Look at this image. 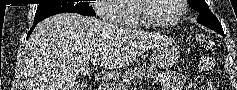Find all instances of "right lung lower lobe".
Masks as SVG:
<instances>
[{
	"mask_svg": "<svg viewBox=\"0 0 237 90\" xmlns=\"http://www.w3.org/2000/svg\"><path fill=\"white\" fill-rule=\"evenodd\" d=\"M38 22H40V21H38ZM38 22H37V21L34 22V25H33L32 28L30 29V31L28 32V36L32 33L33 29L35 28V26L37 25Z\"/></svg>",
	"mask_w": 237,
	"mask_h": 90,
	"instance_id": "right-lung-lower-lobe-1",
	"label": "right lung lower lobe"
}]
</instances>
